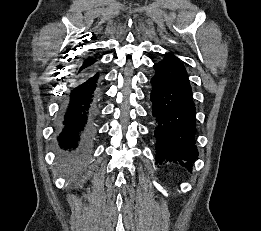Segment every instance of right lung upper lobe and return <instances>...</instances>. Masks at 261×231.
I'll return each instance as SVG.
<instances>
[{"mask_svg":"<svg viewBox=\"0 0 261 231\" xmlns=\"http://www.w3.org/2000/svg\"><path fill=\"white\" fill-rule=\"evenodd\" d=\"M95 62H96V59L92 58V57L85 59L82 62L81 66L77 69L76 75H80V74L85 73L88 70L94 68L96 65Z\"/></svg>","mask_w":261,"mask_h":231,"instance_id":"cb5924a9","label":"right lung upper lobe"}]
</instances>
